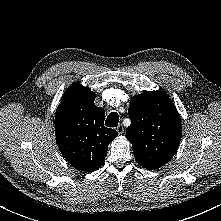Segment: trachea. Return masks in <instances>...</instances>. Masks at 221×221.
I'll use <instances>...</instances> for the list:
<instances>
[{"label": "trachea", "mask_w": 221, "mask_h": 221, "mask_svg": "<svg viewBox=\"0 0 221 221\" xmlns=\"http://www.w3.org/2000/svg\"><path fill=\"white\" fill-rule=\"evenodd\" d=\"M119 122V116L116 112H111L106 121H105V125L107 127H116L118 125Z\"/></svg>", "instance_id": "trachea-1"}]
</instances>
